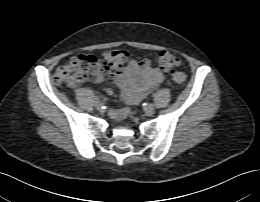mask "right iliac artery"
I'll list each match as a JSON object with an SVG mask.
<instances>
[{
  "instance_id": "82829eb1",
  "label": "right iliac artery",
  "mask_w": 260,
  "mask_h": 202,
  "mask_svg": "<svg viewBox=\"0 0 260 202\" xmlns=\"http://www.w3.org/2000/svg\"><path fill=\"white\" fill-rule=\"evenodd\" d=\"M95 99H96V101H99V100H101V98H100V97H96Z\"/></svg>"
}]
</instances>
